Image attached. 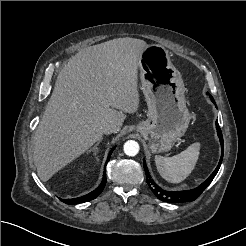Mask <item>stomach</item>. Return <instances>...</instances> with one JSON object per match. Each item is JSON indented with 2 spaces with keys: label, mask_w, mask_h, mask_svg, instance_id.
<instances>
[{
  "label": "stomach",
  "mask_w": 246,
  "mask_h": 246,
  "mask_svg": "<svg viewBox=\"0 0 246 246\" xmlns=\"http://www.w3.org/2000/svg\"><path fill=\"white\" fill-rule=\"evenodd\" d=\"M139 69L148 119L136 131L148 141L152 153L165 152L184 135L190 122L184 82L161 45H149L142 51Z\"/></svg>",
  "instance_id": "1"
}]
</instances>
